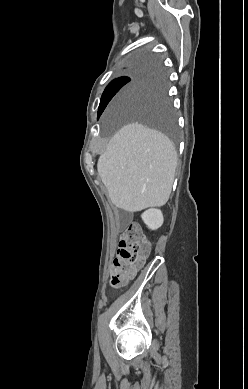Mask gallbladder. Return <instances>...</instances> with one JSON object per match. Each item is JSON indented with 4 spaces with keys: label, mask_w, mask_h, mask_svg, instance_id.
Instances as JSON below:
<instances>
[{
    "label": "gallbladder",
    "mask_w": 248,
    "mask_h": 389,
    "mask_svg": "<svg viewBox=\"0 0 248 389\" xmlns=\"http://www.w3.org/2000/svg\"><path fill=\"white\" fill-rule=\"evenodd\" d=\"M130 220H131V215L130 214L124 213L122 215V224L123 225H126L127 223H129Z\"/></svg>",
    "instance_id": "bac80fb5"
}]
</instances>
